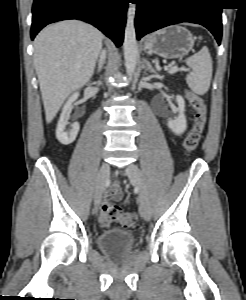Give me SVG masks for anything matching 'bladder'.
Instances as JSON below:
<instances>
[{
	"label": "bladder",
	"instance_id": "1",
	"mask_svg": "<svg viewBox=\"0 0 246 300\" xmlns=\"http://www.w3.org/2000/svg\"><path fill=\"white\" fill-rule=\"evenodd\" d=\"M97 244L105 254L115 259H122L134 249L135 236L125 229L110 228L99 233Z\"/></svg>",
	"mask_w": 246,
	"mask_h": 300
}]
</instances>
